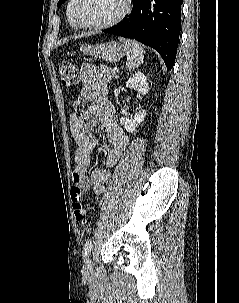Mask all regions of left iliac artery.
I'll list each match as a JSON object with an SVG mask.
<instances>
[{"mask_svg": "<svg viewBox=\"0 0 239 303\" xmlns=\"http://www.w3.org/2000/svg\"><path fill=\"white\" fill-rule=\"evenodd\" d=\"M91 248H92V240L88 239L84 245L83 257H87L89 255Z\"/></svg>", "mask_w": 239, "mask_h": 303, "instance_id": "left-iliac-artery-1", "label": "left iliac artery"}]
</instances>
